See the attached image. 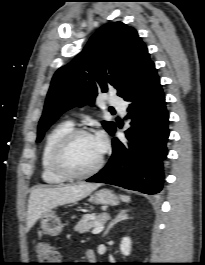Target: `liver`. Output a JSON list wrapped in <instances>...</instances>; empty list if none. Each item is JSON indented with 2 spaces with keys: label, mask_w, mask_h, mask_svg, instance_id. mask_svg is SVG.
I'll return each instance as SVG.
<instances>
[{
  "label": "liver",
  "mask_w": 205,
  "mask_h": 265,
  "mask_svg": "<svg viewBox=\"0 0 205 265\" xmlns=\"http://www.w3.org/2000/svg\"><path fill=\"white\" fill-rule=\"evenodd\" d=\"M99 186V184L81 183L55 188L32 189L27 209V230H30L45 213L50 212L57 206L81 200Z\"/></svg>",
  "instance_id": "6515ba94"
}]
</instances>
